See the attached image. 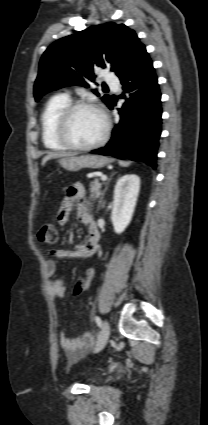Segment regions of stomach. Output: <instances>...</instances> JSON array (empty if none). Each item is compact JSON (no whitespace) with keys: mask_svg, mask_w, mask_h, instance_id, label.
Listing matches in <instances>:
<instances>
[{"mask_svg":"<svg viewBox=\"0 0 208 425\" xmlns=\"http://www.w3.org/2000/svg\"><path fill=\"white\" fill-rule=\"evenodd\" d=\"M68 171L77 172L83 168L100 169L110 163V159L99 155H81L65 157L59 161Z\"/></svg>","mask_w":208,"mask_h":425,"instance_id":"0dacf381","label":"stomach"}]
</instances>
